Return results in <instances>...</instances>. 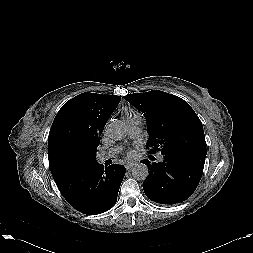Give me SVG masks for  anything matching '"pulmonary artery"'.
Here are the masks:
<instances>
[{"mask_svg": "<svg viewBox=\"0 0 253 253\" xmlns=\"http://www.w3.org/2000/svg\"><path fill=\"white\" fill-rule=\"evenodd\" d=\"M129 133L132 137H137L142 131V119L141 117H137L135 119L126 121ZM114 155L113 151H107L99 154L98 161L103 162L106 159L112 157ZM164 157L162 155H159V160L163 161Z\"/></svg>", "mask_w": 253, "mask_h": 253, "instance_id": "e3ab8cb5", "label": "pulmonary artery"}]
</instances>
